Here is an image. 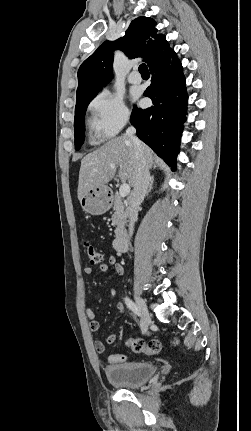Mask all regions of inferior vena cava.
Here are the masks:
<instances>
[{"mask_svg":"<svg viewBox=\"0 0 251 431\" xmlns=\"http://www.w3.org/2000/svg\"><path fill=\"white\" fill-rule=\"evenodd\" d=\"M134 127H128L125 135L134 143L135 155V181L133 192L129 199V236L131 237L134 230V223L138 216V207L143 202L150 182V173L146 161V156L141 141L135 136Z\"/></svg>","mask_w":251,"mask_h":431,"instance_id":"1","label":"inferior vena cava"}]
</instances>
